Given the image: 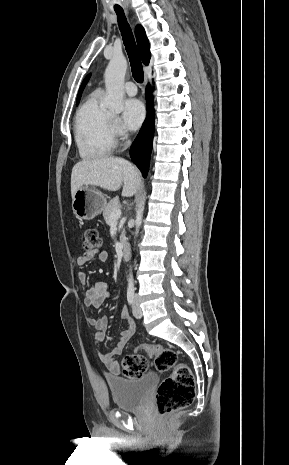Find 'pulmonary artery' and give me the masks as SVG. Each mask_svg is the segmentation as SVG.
Masks as SVG:
<instances>
[{"mask_svg": "<svg viewBox=\"0 0 289 465\" xmlns=\"http://www.w3.org/2000/svg\"><path fill=\"white\" fill-rule=\"evenodd\" d=\"M124 90L129 96H134L137 93V87L132 81L125 83Z\"/></svg>", "mask_w": 289, "mask_h": 465, "instance_id": "1", "label": "pulmonary artery"}]
</instances>
